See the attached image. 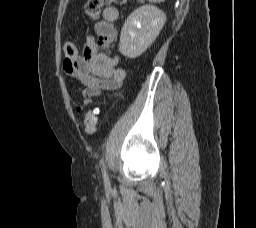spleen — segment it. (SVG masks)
I'll use <instances>...</instances> for the list:
<instances>
[{
	"label": "spleen",
	"instance_id": "3e777b00",
	"mask_svg": "<svg viewBox=\"0 0 256 228\" xmlns=\"http://www.w3.org/2000/svg\"><path fill=\"white\" fill-rule=\"evenodd\" d=\"M148 1L153 3H160V2H164L165 0H148Z\"/></svg>",
	"mask_w": 256,
	"mask_h": 228
}]
</instances>
